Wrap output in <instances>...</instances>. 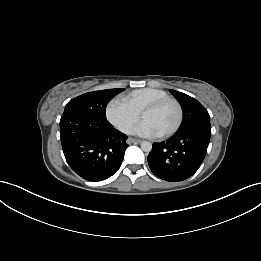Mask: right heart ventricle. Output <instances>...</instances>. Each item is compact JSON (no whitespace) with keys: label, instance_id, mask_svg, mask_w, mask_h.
Segmentation results:
<instances>
[{"label":"right heart ventricle","instance_id":"obj_1","mask_svg":"<svg viewBox=\"0 0 261 261\" xmlns=\"http://www.w3.org/2000/svg\"><path fill=\"white\" fill-rule=\"evenodd\" d=\"M168 94L156 88H142L134 90L123 97V99L139 114L150 103L168 98Z\"/></svg>","mask_w":261,"mask_h":261}]
</instances>
